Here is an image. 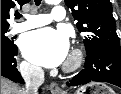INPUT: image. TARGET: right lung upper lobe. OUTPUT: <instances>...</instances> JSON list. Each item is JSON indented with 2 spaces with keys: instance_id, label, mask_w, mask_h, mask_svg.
Segmentation results:
<instances>
[{
  "instance_id": "right-lung-upper-lobe-1",
  "label": "right lung upper lobe",
  "mask_w": 121,
  "mask_h": 94,
  "mask_svg": "<svg viewBox=\"0 0 121 94\" xmlns=\"http://www.w3.org/2000/svg\"><path fill=\"white\" fill-rule=\"evenodd\" d=\"M30 0H1V30L9 29L10 11L28 3Z\"/></svg>"
}]
</instances>
